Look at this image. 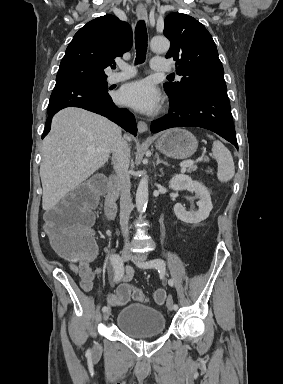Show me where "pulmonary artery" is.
Segmentation results:
<instances>
[{
	"instance_id": "obj_1",
	"label": "pulmonary artery",
	"mask_w": 283,
	"mask_h": 384,
	"mask_svg": "<svg viewBox=\"0 0 283 384\" xmlns=\"http://www.w3.org/2000/svg\"><path fill=\"white\" fill-rule=\"evenodd\" d=\"M118 72H114L108 75L107 81L108 83H118L120 81L126 80L133 76L136 73V70L129 66L125 62L118 63ZM151 70L152 71H169L171 74L174 72L172 70V65L170 61H152L151 62Z\"/></svg>"
}]
</instances>
